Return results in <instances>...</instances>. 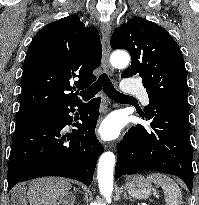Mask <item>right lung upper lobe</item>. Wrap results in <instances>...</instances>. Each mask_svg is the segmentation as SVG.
Listing matches in <instances>:
<instances>
[{"label":"right lung upper lobe","instance_id":"cb5924a9","mask_svg":"<svg viewBox=\"0 0 199 205\" xmlns=\"http://www.w3.org/2000/svg\"><path fill=\"white\" fill-rule=\"evenodd\" d=\"M101 56L97 29L85 27L77 14L44 26L26 53L16 118L49 113L78 100L73 90L87 88L96 80L93 71Z\"/></svg>","mask_w":199,"mask_h":205}]
</instances>
